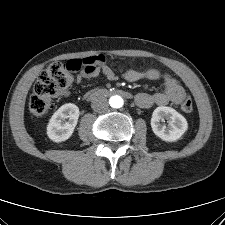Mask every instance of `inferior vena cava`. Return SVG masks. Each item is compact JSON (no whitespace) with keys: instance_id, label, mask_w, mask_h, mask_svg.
<instances>
[{"instance_id":"1","label":"inferior vena cava","mask_w":225,"mask_h":225,"mask_svg":"<svg viewBox=\"0 0 225 225\" xmlns=\"http://www.w3.org/2000/svg\"><path fill=\"white\" fill-rule=\"evenodd\" d=\"M91 107L96 112H106L109 109V104L104 96H95L92 100Z\"/></svg>"}]
</instances>
